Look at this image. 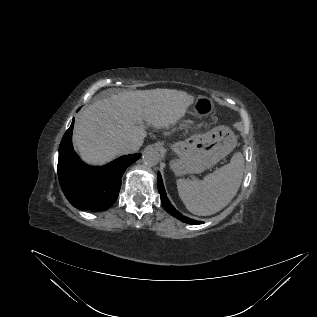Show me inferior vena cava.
Returning <instances> with one entry per match:
<instances>
[{"label":"inferior vena cava","mask_w":317,"mask_h":317,"mask_svg":"<svg viewBox=\"0 0 317 317\" xmlns=\"http://www.w3.org/2000/svg\"><path fill=\"white\" fill-rule=\"evenodd\" d=\"M119 152L122 154H129L138 150L137 144L133 142H124L119 146Z\"/></svg>","instance_id":"obj_1"}]
</instances>
